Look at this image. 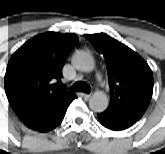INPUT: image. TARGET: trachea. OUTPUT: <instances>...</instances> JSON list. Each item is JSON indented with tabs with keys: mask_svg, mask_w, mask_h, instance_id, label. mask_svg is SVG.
Masks as SVG:
<instances>
[{
	"mask_svg": "<svg viewBox=\"0 0 165 154\" xmlns=\"http://www.w3.org/2000/svg\"><path fill=\"white\" fill-rule=\"evenodd\" d=\"M71 90H74V91H83L85 93H89L90 92V87L85 82H76L71 87Z\"/></svg>",
	"mask_w": 165,
	"mask_h": 154,
	"instance_id": "obj_1",
	"label": "trachea"
}]
</instances>
